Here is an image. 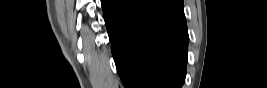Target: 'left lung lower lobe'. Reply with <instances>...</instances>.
I'll use <instances>...</instances> for the list:
<instances>
[{"instance_id": "obj_1", "label": "left lung lower lobe", "mask_w": 267, "mask_h": 88, "mask_svg": "<svg viewBox=\"0 0 267 88\" xmlns=\"http://www.w3.org/2000/svg\"><path fill=\"white\" fill-rule=\"evenodd\" d=\"M101 2L124 87L181 88L188 44L183 0Z\"/></svg>"}]
</instances>
